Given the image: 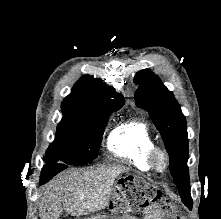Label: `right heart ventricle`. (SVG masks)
<instances>
[{"label": "right heart ventricle", "instance_id": "1", "mask_svg": "<svg viewBox=\"0 0 221 219\" xmlns=\"http://www.w3.org/2000/svg\"><path fill=\"white\" fill-rule=\"evenodd\" d=\"M155 139L148 123L130 120L113 130L107 140L108 150L140 171H149L148 153L155 147Z\"/></svg>", "mask_w": 221, "mask_h": 219}]
</instances>
